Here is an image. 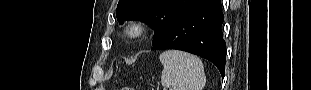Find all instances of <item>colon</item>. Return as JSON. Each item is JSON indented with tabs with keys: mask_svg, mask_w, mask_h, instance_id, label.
<instances>
[{
	"mask_svg": "<svg viewBox=\"0 0 311 90\" xmlns=\"http://www.w3.org/2000/svg\"><path fill=\"white\" fill-rule=\"evenodd\" d=\"M122 90H133V89L129 87H123Z\"/></svg>",
	"mask_w": 311,
	"mask_h": 90,
	"instance_id": "obj_1",
	"label": "colon"
}]
</instances>
